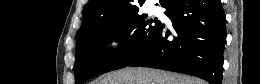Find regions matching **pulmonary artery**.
I'll return each instance as SVG.
<instances>
[{
	"instance_id": "e3ab8cb5",
	"label": "pulmonary artery",
	"mask_w": 260,
	"mask_h": 84,
	"mask_svg": "<svg viewBox=\"0 0 260 84\" xmlns=\"http://www.w3.org/2000/svg\"><path fill=\"white\" fill-rule=\"evenodd\" d=\"M156 10H157V9H156V7H155V6H151V7H150V11H151V13H155V12H156Z\"/></svg>"
}]
</instances>
